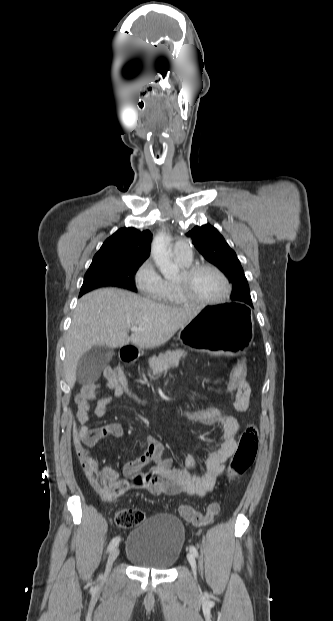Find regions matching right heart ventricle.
<instances>
[{"label":"right heart ventricle","mask_w":333,"mask_h":621,"mask_svg":"<svg viewBox=\"0 0 333 621\" xmlns=\"http://www.w3.org/2000/svg\"><path fill=\"white\" fill-rule=\"evenodd\" d=\"M177 262L182 267H188L191 264V261L186 262L176 258ZM156 300L164 305L169 306H178L186 304V301L181 297L176 287V281L163 279V285L159 295L156 297Z\"/></svg>","instance_id":"obj_1"}]
</instances>
